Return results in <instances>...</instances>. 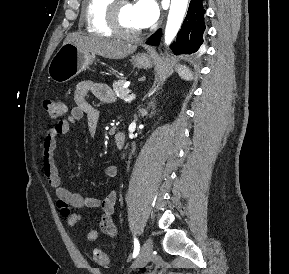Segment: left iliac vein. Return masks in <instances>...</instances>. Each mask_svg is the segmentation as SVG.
<instances>
[{"mask_svg":"<svg viewBox=\"0 0 289 274\" xmlns=\"http://www.w3.org/2000/svg\"><path fill=\"white\" fill-rule=\"evenodd\" d=\"M152 250H153V242L152 239L149 237L145 240V242L142 245L141 251L135 261L132 264V267H143L145 266L152 256Z\"/></svg>","mask_w":289,"mask_h":274,"instance_id":"4c4485c4","label":"left iliac vein"}]
</instances>
